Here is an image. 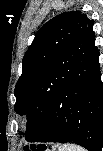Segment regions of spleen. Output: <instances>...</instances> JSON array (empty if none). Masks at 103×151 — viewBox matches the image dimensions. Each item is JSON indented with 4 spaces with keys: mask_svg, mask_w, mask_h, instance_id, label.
<instances>
[{
    "mask_svg": "<svg viewBox=\"0 0 103 151\" xmlns=\"http://www.w3.org/2000/svg\"><path fill=\"white\" fill-rule=\"evenodd\" d=\"M59 151H86V150L75 144H65L59 147Z\"/></svg>",
    "mask_w": 103,
    "mask_h": 151,
    "instance_id": "3e777b00",
    "label": "spleen"
}]
</instances>
